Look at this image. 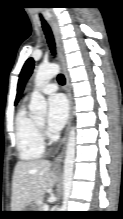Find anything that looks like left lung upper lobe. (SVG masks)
<instances>
[{
	"instance_id": "5c2ea615",
	"label": "left lung upper lobe",
	"mask_w": 123,
	"mask_h": 219,
	"mask_svg": "<svg viewBox=\"0 0 123 219\" xmlns=\"http://www.w3.org/2000/svg\"><path fill=\"white\" fill-rule=\"evenodd\" d=\"M33 67H34V61L32 58H30L26 61L20 73L19 82H18V90L20 89L23 82L27 80L29 76L32 74Z\"/></svg>"
}]
</instances>
